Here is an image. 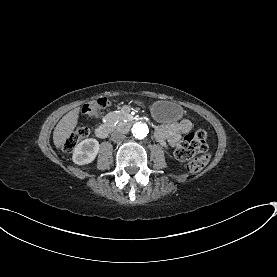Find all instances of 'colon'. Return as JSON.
<instances>
[{"mask_svg":"<svg viewBox=\"0 0 277 277\" xmlns=\"http://www.w3.org/2000/svg\"><path fill=\"white\" fill-rule=\"evenodd\" d=\"M111 105L112 99L101 96L86 102L82 110L84 113L95 117L102 114V112L111 107ZM88 135L89 129L87 127L80 128L65 140L62 147L63 150L65 152L71 151L80 140L87 138ZM199 153L203 155L201 157H196V154ZM175 155L177 159L187 162V168L191 173L202 171L210 158L206 131L198 130L180 141L176 147Z\"/></svg>","mask_w":277,"mask_h":277,"instance_id":"obj_1","label":"colon"}]
</instances>
